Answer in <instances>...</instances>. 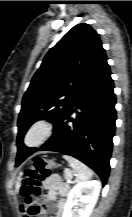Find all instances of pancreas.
I'll return each instance as SVG.
<instances>
[{"mask_svg": "<svg viewBox=\"0 0 132 217\" xmlns=\"http://www.w3.org/2000/svg\"><path fill=\"white\" fill-rule=\"evenodd\" d=\"M64 176H65V179H67V173H65V175H64Z\"/></svg>", "mask_w": 132, "mask_h": 217, "instance_id": "cf45deb5", "label": "pancreas"}]
</instances>
